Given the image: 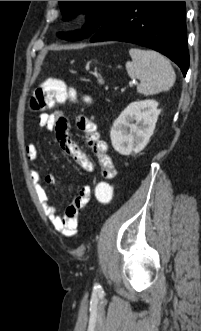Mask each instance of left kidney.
<instances>
[{
    "label": "left kidney",
    "mask_w": 201,
    "mask_h": 331,
    "mask_svg": "<svg viewBox=\"0 0 201 331\" xmlns=\"http://www.w3.org/2000/svg\"><path fill=\"white\" fill-rule=\"evenodd\" d=\"M157 107L155 100L132 102L119 115L110 131L112 146L118 153L127 156L146 147L160 114Z\"/></svg>",
    "instance_id": "obj_1"
}]
</instances>
